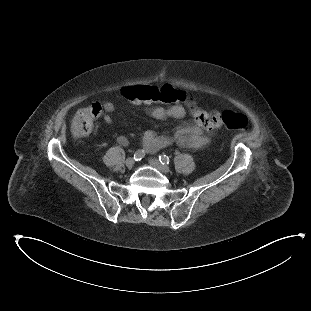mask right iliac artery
I'll list each match as a JSON object with an SVG mask.
<instances>
[{"instance_id": "82829eb1", "label": "right iliac artery", "mask_w": 311, "mask_h": 311, "mask_svg": "<svg viewBox=\"0 0 311 311\" xmlns=\"http://www.w3.org/2000/svg\"><path fill=\"white\" fill-rule=\"evenodd\" d=\"M145 156V151L144 150H138L134 154V160L139 161Z\"/></svg>"}]
</instances>
